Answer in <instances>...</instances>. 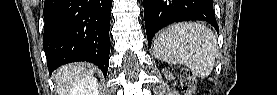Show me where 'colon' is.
Masks as SVG:
<instances>
[{"instance_id": "5ec220e1", "label": "colon", "mask_w": 277, "mask_h": 95, "mask_svg": "<svg viewBox=\"0 0 277 95\" xmlns=\"http://www.w3.org/2000/svg\"><path fill=\"white\" fill-rule=\"evenodd\" d=\"M180 82L186 94H193L196 89V77L189 69H183Z\"/></svg>"}]
</instances>
